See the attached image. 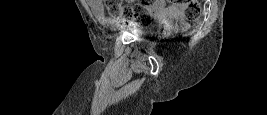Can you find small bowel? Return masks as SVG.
I'll use <instances>...</instances> for the list:
<instances>
[{"label":"small bowel","mask_w":267,"mask_h":115,"mask_svg":"<svg viewBox=\"0 0 267 115\" xmlns=\"http://www.w3.org/2000/svg\"><path fill=\"white\" fill-rule=\"evenodd\" d=\"M88 4L92 12L100 19H106L105 10L102 2L100 0H88ZM172 10H175V7H170ZM167 10V5L165 1L158 0L152 7V11L155 14H162Z\"/></svg>","instance_id":"obj_1"}]
</instances>
